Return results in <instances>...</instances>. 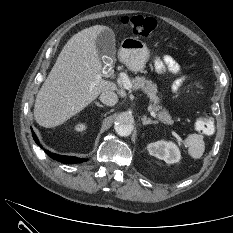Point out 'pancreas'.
Wrapping results in <instances>:
<instances>
[{
    "label": "pancreas",
    "instance_id": "pancreas-1",
    "mask_svg": "<svg viewBox=\"0 0 233 233\" xmlns=\"http://www.w3.org/2000/svg\"><path fill=\"white\" fill-rule=\"evenodd\" d=\"M131 87L135 90L141 89L148 95L150 101L153 103L152 108L154 111H159L162 109L159 105H157L159 102V98L157 96V85L152 83V81L146 79L145 77L137 76L131 80ZM158 116L164 123H173L171 116L165 110L159 111Z\"/></svg>",
    "mask_w": 233,
    "mask_h": 233
}]
</instances>
